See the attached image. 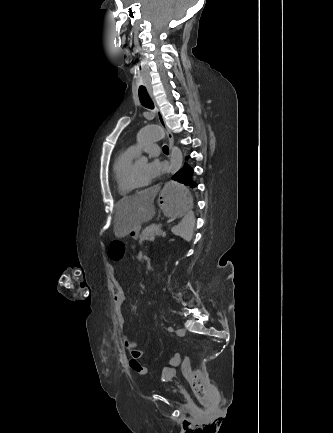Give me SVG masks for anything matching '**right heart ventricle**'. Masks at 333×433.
Masks as SVG:
<instances>
[{
  "mask_svg": "<svg viewBox=\"0 0 333 433\" xmlns=\"http://www.w3.org/2000/svg\"><path fill=\"white\" fill-rule=\"evenodd\" d=\"M134 158V152L128 148L121 151L115 159L113 165V179L117 191L121 196H127L131 192V188L125 183V174L127 168Z\"/></svg>",
  "mask_w": 333,
  "mask_h": 433,
  "instance_id": "right-heart-ventricle-1",
  "label": "right heart ventricle"
}]
</instances>
